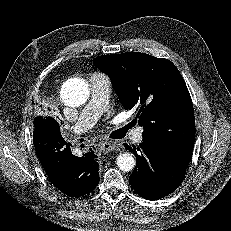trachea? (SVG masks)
I'll list each match as a JSON object with an SVG mask.
<instances>
[{"label": "trachea", "mask_w": 231, "mask_h": 231, "mask_svg": "<svg viewBox=\"0 0 231 231\" xmlns=\"http://www.w3.org/2000/svg\"><path fill=\"white\" fill-rule=\"evenodd\" d=\"M130 127L129 126H126V127H123L119 130H116L112 133V138L114 139H120V138H123L126 134V131L129 129Z\"/></svg>", "instance_id": "3493384b"}]
</instances>
